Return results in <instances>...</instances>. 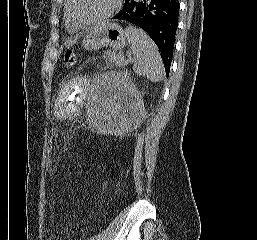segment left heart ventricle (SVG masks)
<instances>
[{
    "instance_id": "obj_1",
    "label": "left heart ventricle",
    "mask_w": 257,
    "mask_h": 240,
    "mask_svg": "<svg viewBox=\"0 0 257 240\" xmlns=\"http://www.w3.org/2000/svg\"><path fill=\"white\" fill-rule=\"evenodd\" d=\"M113 0H74L72 11L82 22L93 20L107 12Z\"/></svg>"
}]
</instances>
